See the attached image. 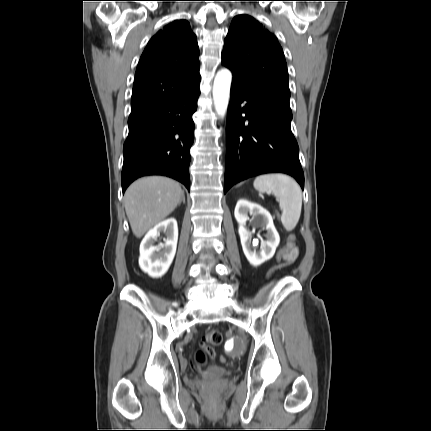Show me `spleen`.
I'll return each mask as SVG.
<instances>
[{
	"label": "spleen",
	"mask_w": 431,
	"mask_h": 431,
	"mask_svg": "<svg viewBox=\"0 0 431 431\" xmlns=\"http://www.w3.org/2000/svg\"><path fill=\"white\" fill-rule=\"evenodd\" d=\"M254 188L261 193H272L282 210L281 222L287 231H292L300 218L302 191L297 182L283 174H265L256 177Z\"/></svg>",
	"instance_id": "1"
}]
</instances>
